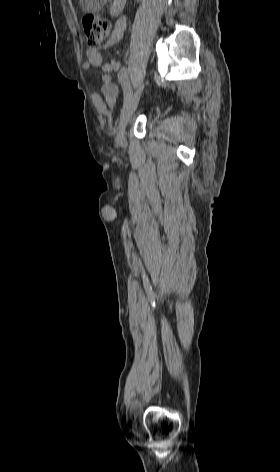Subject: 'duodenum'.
<instances>
[{"instance_id":"obj_1","label":"duodenum","mask_w":280,"mask_h":472,"mask_svg":"<svg viewBox=\"0 0 280 472\" xmlns=\"http://www.w3.org/2000/svg\"><path fill=\"white\" fill-rule=\"evenodd\" d=\"M126 0H114L111 5V14L116 16L118 15L124 8Z\"/></svg>"}]
</instances>
